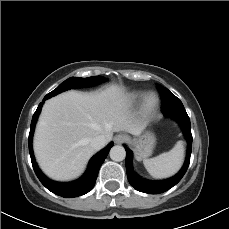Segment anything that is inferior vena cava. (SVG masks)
Masks as SVG:
<instances>
[{
  "instance_id": "1",
  "label": "inferior vena cava",
  "mask_w": 229,
  "mask_h": 229,
  "mask_svg": "<svg viewBox=\"0 0 229 229\" xmlns=\"http://www.w3.org/2000/svg\"><path fill=\"white\" fill-rule=\"evenodd\" d=\"M105 144H106V138L103 135L95 136L90 142V145L94 150L101 149L102 147L105 146Z\"/></svg>"
}]
</instances>
